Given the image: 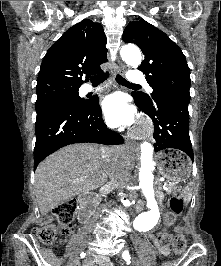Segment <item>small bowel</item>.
<instances>
[{
    "mask_svg": "<svg viewBox=\"0 0 221 266\" xmlns=\"http://www.w3.org/2000/svg\"><path fill=\"white\" fill-rule=\"evenodd\" d=\"M181 230L182 227L176 228L177 232H180ZM149 238L153 241L157 251L161 255L167 256L169 254V247L167 243H161L159 238L155 234H150ZM86 266H114V264L107 256H98L87 259Z\"/></svg>",
    "mask_w": 221,
    "mask_h": 266,
    "instance_id": "c3829d8e",
    "label": "small bowel"
}]
</instances>
